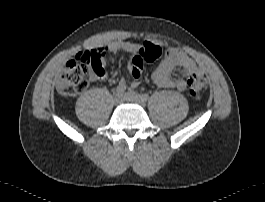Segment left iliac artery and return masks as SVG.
I'll return each mask as SVG.
<instances>
[{"instance_id":"44dca946","label":"left iliac artery","mask_w":265,"mask_h":202,"mask_svg":"<svg viewBox=\"0 0 265 202\" xmlns=\"http://www.w3.org/2000/svg\"><path fill=\"white\" fill-rule=\"evenodd\" d=\"M141 98H142L143 101H147L149 99V95L144 93V94L141 95Z\"/></svg>"}]
</instances>
